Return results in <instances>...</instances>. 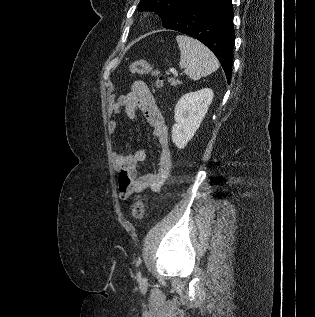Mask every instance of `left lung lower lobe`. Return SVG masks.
Returning <instances> with one entry per match:
<instances>
[{
	"mask_svg": "<svg viewBox=\"0 0 315 317\" xmlns=\"http://www.w3.org/2000/svg\"><path fill=\"white\" fill-rule=\"evenodd\" d=\"M169 29L205 44L218 58L230 84L235 42L232 0H196Z\"/></svg>",
	"mask_w": 315,
	"mask_h": 317,
	"instance_id": "left-lung-lower-lobe-1",
	"label": "left lung lower lobe"
}]
</instances>
